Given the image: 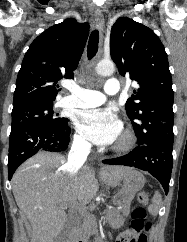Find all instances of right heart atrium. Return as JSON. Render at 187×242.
<instances>
[{"label": "right heart atrium", "instance_id": "1", "mask_svg": "<svg viewBox=\"0 0 187 242\" xmlns=\"http://www.w3.org/2000/svg\"><path fill=\"white\" fill-rule=\"evenodd\" d=\"M74 146L79 150H87L89 143L80 134H75Z\"/></svg>", "mask_w": 187, "mask_h": 242}]
</instances>
